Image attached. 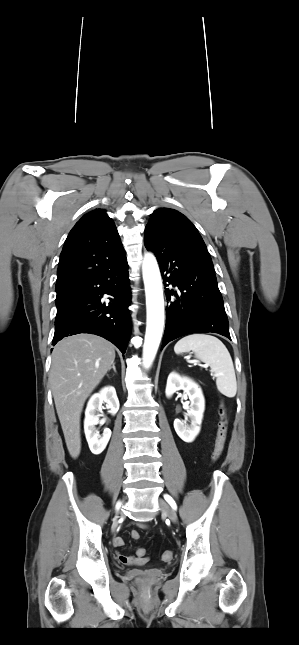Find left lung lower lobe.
<instances>
[{"label": "left lung lower lobe", "mask_w": 299, "mask_h": 645, "mask_svg": "<svg viewBox=\"0 0 299 645\" xmlns=\"http://www.w3.org/2000/svg\"><path fill=\"white\" fill-rule=\"evenodd\" d=\"M145 246L157 257L165 287L172 284L180 290H165L170 304L162 348L191 333L213 332L231 340L222 295L203 239L182 231L147 234Z\"/></svg>", "instance_id": "1"}]
</instances>
